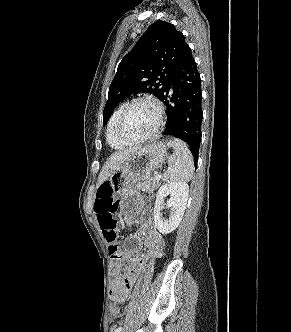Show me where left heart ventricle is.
<instances>
[{
	"instance_id": "left-heart-ventricle-1",
	"label": "left heart ventricle",
	"mask_w": 291,
	"mask_h": 332,
	"mask_svg": "<svg viewBox=\"0 0 291 332\" xmlns=\"http://www.w3.org/2000/svg\"><path fill=\"white\" fill-rule=\"evenodd\" d=\"M156 109L150 103H137L126 114L123 132L130 138H141L151 134L157 127Z\"/></svg>"
}]
</instances>
